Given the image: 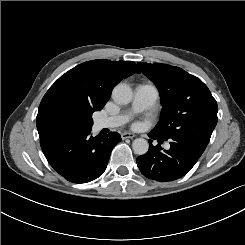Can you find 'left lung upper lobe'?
Returning a JSON list of instances; mask_svg holds the SVG:
<instances>
[{
	"instance_id": "obj_1",
	"label": "left lung upper lobe",
	"mask_w": 245,
	"mask_h": 245,
	"mask_svg": "<svg viewBox=\"0 0 245 245\" xmlns=\"http://www.w3.org/2000/svg\"><path fill=\"white\" fill-rule=\"evenodd\" d=\"M157 86L162 110L152 130L163 139L188 138L208 144L217 124V103L207 86L179 67L138 62Z\"/></svg>"
}]
</instances>
